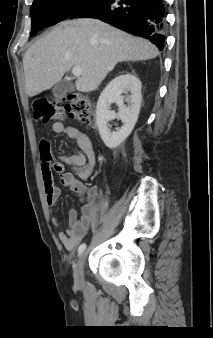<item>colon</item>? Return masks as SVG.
I'll use <instances>...</instances> for the list:
<instances>
[{
  "mask_svg": "<svg viewBox=\"0 0 213 338\" xmlns=\"http://www.w3.org/2000/svg\"><path fill=\"white\" fill-rule=\"evenodd\" d=\"M59 101L45 96L34 98L32 103L33 117L41 123H48L52 119H61L65 113L79 120L86 126L94 124L95 116L91 100L84 94L74 93Z\"/></svg>",
  "mask_w": 213,
  "mask_h": 338,
  "instance_id": "1",
  "label": "colon"
}]
</instances>
